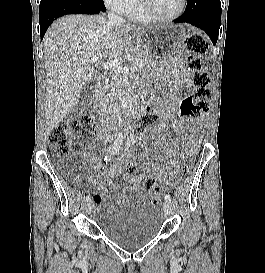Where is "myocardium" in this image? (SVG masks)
<instances>
[{"instance_id":"obj_1","label":"myocardium","mask_w":265,"mask_h":273,"mask_svg":"<svg viewBox=\"0 0 265 273\" xmlns=\"http://www.w3.org/2000/svg\"><path fill=\"white\" fill-rule=\"evenodd\" d=\"M186 5H187V0H181V6L175 14L171 16H158L154 14L149 8L148 0H140L141 9L143 10L147 18L151 22H157V23H164V22H170V21L176 20L185 12Z\"/></svg>"}]
</instances>
